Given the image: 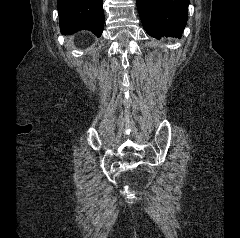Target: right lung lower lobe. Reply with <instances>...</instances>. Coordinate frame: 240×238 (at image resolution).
I'll list each match as a JSON object with an SVG mask.
<instances>
[{"label":"right lung lower lobe","mask_w":240,"mask_h":238,"mask_svg":"<svg viewBox=\"0 0 240 238\" xmlns=\"http://www.w3.org/2000/svg\"><path fill=\"white\" fill-rule=\"evenodd\" d=\"M60 31L72 34L89 30L101 36L104 28L103 0H57Z\"/></svg>","instance_id":"98d812e1"}]
</instances>
